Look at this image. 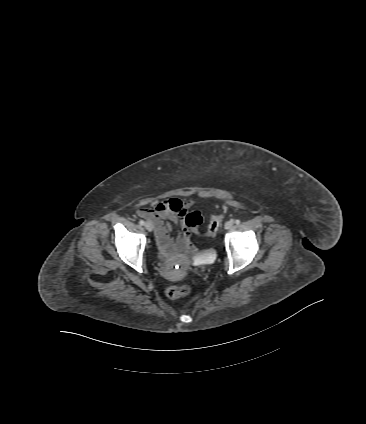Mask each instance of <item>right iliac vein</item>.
I'll use <instances>...</instances> for the list:
<instances>
[{"mask_svg": "<svg viewBox=\"0 0 366 424\" xmlns=\"http://www.w3.org/2000/svg\"><path fill=\"white\" fill-rule=\"evenodd\" d=\"M145 228H146L149 232H151V231L153 230V225H152V223H151V222H146V223H145Z\"/></svg>", "mask_w": 366, "mask_h": 424, "instance_id": "63e3f726", "label": "right iliac vein"}]
</instances>
